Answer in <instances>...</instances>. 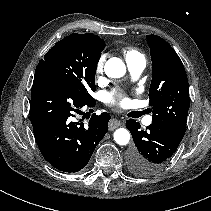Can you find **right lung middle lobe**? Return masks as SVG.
<instances>
[{
    "label": "right lung middle lobe",
    "mask_w": 211,
    "mask_h": 211,
    "mask_svg": "<svg viewBox=\"0 0 211 211\" xmlns=\"http://www.w3.org/2000/svg\"><path fill=\"white\" fill-rule=\"evenodd\" d=\"M103 48L83 34L72 33L58 41L43 60L35 73L52 75L73 85L81 94L91 99L95 92V73Z\"/></svg>",
    "instance_id": "obj_1"
}]
</instances>
